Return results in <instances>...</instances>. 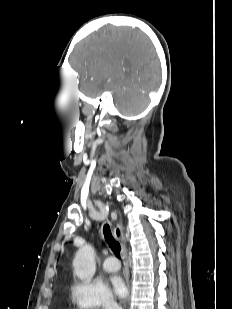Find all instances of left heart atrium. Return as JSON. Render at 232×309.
<instances>
[{"label":"left heart atrium","instance_id":"left-heart-atrium-1","mask_svg":"<svg viewBox=\"0 0 232 309\" xmlns=\"http://www.w3.org/2000/svg\"><path fill=\"white\" fill-rule=\"evenodd\" d=\"M111 287L114 294L123 299L127 296L128 289L124 279L118 275L111 277Z\"/></svg>","mask_w":232,"mask_h":309}]
</instances>
